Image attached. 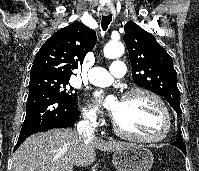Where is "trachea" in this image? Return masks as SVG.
<instances>
[{
	"instance_id": "trachea-1",
	"label": "trachea",
	"mask_w": 199,
	"mask_h": 171,
	"mask_svg": "<svg viewBox=\"0 0 199 171\" xmlns=\"http://www.w3.org/2000/svg\"><path fill=\"white\" fill-rule=\"evenodd\" d=\"M111 21H112V15H105L102 17L101 26L103 31L107 30L108 25L111 23Z\"/></svg>"
}]
</instances>
